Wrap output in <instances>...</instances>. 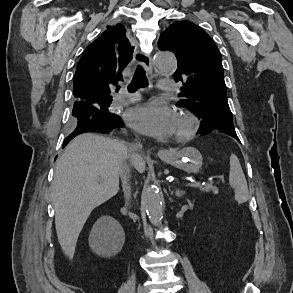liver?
Masks as SVG:
<instances>
[{
	"mask_svg": "<svg viewBox=\"0 0 293 293\" xmlns=\"http://www.w3.org/2000/svg\"><path fill=\"white\" fill-rule=\"evenodd\" d=\"M131 155L133 166L143 173L144 160L128 154L123 142L86 133L74 138L58 160L51 196L58 241L69 258L91 212L117 194L121 166Z\"/></svg>",
	"mask_w": 293,
	"mask_h": 293,
	"instance_id": "6515ba94",
	"label": "liver"
}]
</instances>
